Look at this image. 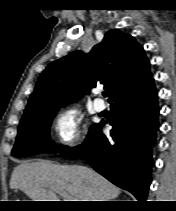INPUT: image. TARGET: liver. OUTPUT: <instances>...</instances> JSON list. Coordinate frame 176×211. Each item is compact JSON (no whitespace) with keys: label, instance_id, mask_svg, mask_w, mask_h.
Instances as JSON below:
<instances>
[{"label":"liver","instance_id":"liver-1","mask_svg":"<svg viewBox=\"0 0 176 211\" xmlns=\"http://www.w3.org/2000/svg\"><path fill=\"white\" fill-rule=\"evenodd\" d=\"M10 188L22 190L33 201H60L56 190H64L78 201H111L120 194L118 187L91 168L46 160L16 166Z\"/></svg>","mask_w":176,"mask_h":211}]
</instances>
